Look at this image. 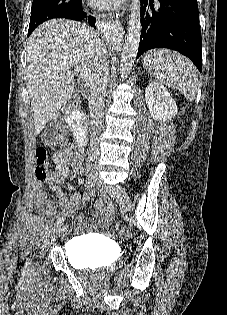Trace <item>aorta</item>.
<instances>
[{"label": "aorta", "mask_w": 227, "mask_h": 315, "mask_svg": "<svg viewBox=\"0 0 227 315\" xmlns=\"http://www.w3.org/2000/svg\"><path fill=\"white\" fill-rule=\"evenodd\" d=\"M140 1L132 0L126 35L123 37L118 27L107 24L104 34L107 42L114 49H121L120 71L122 75L130 72L138 52L141 36Z\"/></svg>", "instance_id": "obj_1"}]
</instances>
